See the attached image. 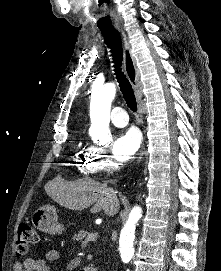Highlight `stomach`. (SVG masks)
Listing matches in <instances>:
<instances>
[{"mask_svg":"<svg viewBox=\"0 0 221 271\" xmlns=\"http://www.w3.org/2000/svg\"><path fill=\"white\" fill-rule=\"evenodd\" d=\"M32 223L46 233H60L63 231V225L57 221V211L54 205H44L36 209L32 215Z\"/></svg>","mask_w":221,"mask_h":271,"instance_id":"1","label":"stomach"}]
</instances>
